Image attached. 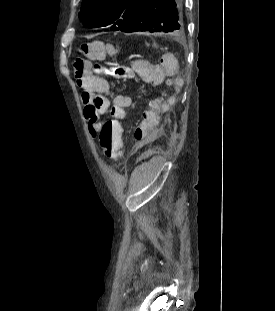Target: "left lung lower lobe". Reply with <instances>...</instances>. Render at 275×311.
<instances>
[{
	"instance_id": "1",
	"label": "left lung lower lobe",
	"mask_w": 275,
	"mask_h": 311,
	"mask_svg": "<svg viewBox=\"0 0 275 311\" xmlns=\"http://www.w3.org/2000/svg\"><path fill=\"white\" fill-rule=\"evenodd\" d=\"M179 8V0H143L135 13L118 30L128 33L139 31L178 33L183 30Z\"/></svg>"
}]
</instances>
